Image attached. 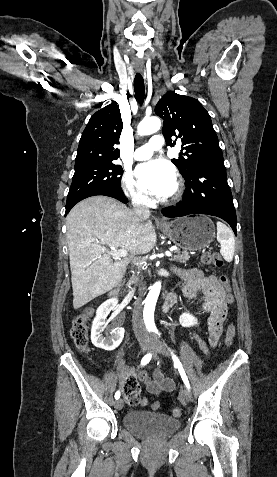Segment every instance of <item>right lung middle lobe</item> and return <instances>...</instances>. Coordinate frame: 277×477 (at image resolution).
<instances>
[{"label":"right lung middle lobe","instance_id":"right-lung-middle-lobe-1","mask_svg":"<svg viewBox=\"0 0 277 477\" xmlns=\"http://www.w3.org/2000/svg\"><path fill=\"white\" fill-rule=\"evenodd\" d=\"M122 174V167L113 162L91 163L75 167L66 208L94 192H123L120 185Z\"/></svg>","mask_w":277,"mask_h":477}]
</instances>
